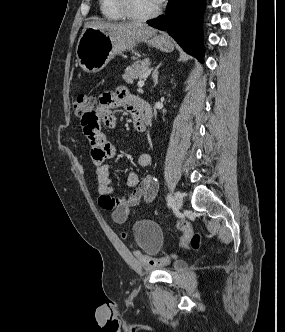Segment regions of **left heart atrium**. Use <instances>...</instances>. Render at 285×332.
<instances>
[{
  "label": "left heart atrium",
  "instance_id": "39dd6f15",
  "mask_svg": "<svg viewBox=\"0 0 285 332\" xmlns=\"http://www.w3.org/2000/svg\"><path fill=\"white\" fill-rule=\"evenodd\" d=\"M164 0H155V2L157 3V5H161L163 3Z\"/></svg>",
  "mask_w": 285,
  "mask_h": 332
}]
</instances>
